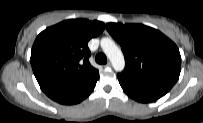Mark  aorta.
I'll return each instance as SVG.
<instances>
[{"mask_svg":"<svg viewBox=\"0 0 203 123\" xmlns=\"http://www.w3.org/2000/svg\"><path fill=\"white\" fill-rule=\"evenodd\" d=\"M101 47L107 58L111 61L115 71L121 72L124 69L125 60L120 48L110 38H102Z\"/></svg>","mask_w":203,"mask_h":123,"instance_id":"obj_1","label":"aorta"}]
</instances>
